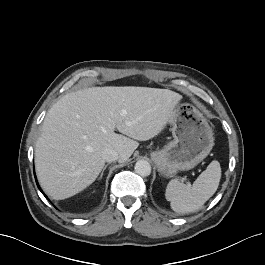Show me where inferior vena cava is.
Instances as JSON below:
<instances>
[{
	"label": "inferior vena cava",
	"mask_w": 265,
	"mask_h": 265,
	"mask_svg": "<svg viewBox=\"0 0 265 265\" xmlns=\"http://www.w3.org/2000/svg\"><path fill=\"white\" fill-rule=\"evenodd\" d=\"M102 157L106 162H113L118 160L119 154L114 149H107L103 152Z\"/></svg>",
	"instance_id": "1"
}]
</instances>
